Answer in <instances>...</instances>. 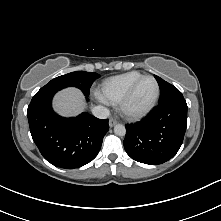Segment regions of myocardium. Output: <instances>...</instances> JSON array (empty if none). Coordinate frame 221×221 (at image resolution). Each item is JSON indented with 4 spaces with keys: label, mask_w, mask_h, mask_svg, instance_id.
I'll list each match as a JSON object with an SVG mask.
<instances>
[{
    "label": "myocardium",
    "mask_w": 221,
    "mask_h": 221,
    "mask_svg": "<svg viewBox=\"0 0 221 221\" xmlns=\"http://www.w3.org/2000/svg\"><path fill=\"white\" fill-rule=\"evenodd\" d=\"M146 79H151L155 83L154 97L150 101V103L147 106H145L144 108L139 109V110H133L130 108L131 99H132L137 87L139 86V84ZM159 94H160V87H159L157 80L151 75H144L141 78H139L138 80H136L130 86V88L125 93V95L122 97V99L119 102L120 111L128 119H131V120L141 119V118L145 117L147 114H149L152 111V109L155 107V105L158 101V98H159Z\"/></svg>",
    "instance_id": "f54148a6"
}]
</instances>
